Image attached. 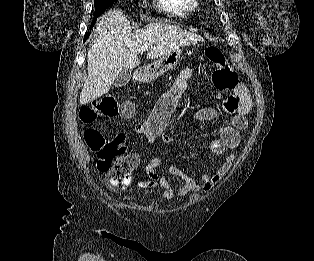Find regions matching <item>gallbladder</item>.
Returning a JSON list of instances; mask_svg holds the SVG:
<instances>
[{
	"mask_svg": "<svg viewBox=\"0 0 314 261\" xmlns=\"http://www.w3.org/2000/svg\"><path fill=\"white\" fill-rule=\"evenodd\" d=\"M131 70L130 69H123L116 77L113 85L115 87H122L125 86L131 79Z\"/></svg>",
	"mask_w": 314,
	"mask_h": 261,
	"instance_id": "bac80fb5",
	"label": "gallbladder"
}]
</instances>
